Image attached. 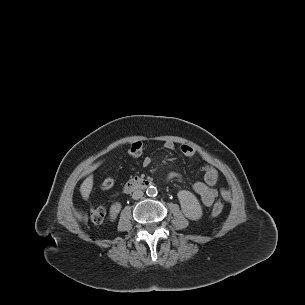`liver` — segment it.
I'll return each mask as SVG.
<instances>
[{
    "label": "liver",
    "instance_id": "6515ba94",
    "mask_svg": "<svg viewBox=\"0 0 305 305\" xmlns=\"http://www.w3.org/2000/svg\"><path fill=\"white\" fill-rule=\"evenodd\" d=\"M93 187V176L89 175L81 184L80 192L82 197L87 200Z\"/></svg>",
    "mask_w": 305,
    "mask_h": 305
}]
</instances>
